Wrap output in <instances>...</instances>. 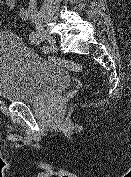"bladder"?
<instances>
[{
	"label": "bladder",
	"mask_w": 131,
	"mask_h": 177,
	"mask_svg": "<svg viewBox=\"0 0 131 177\" xmlns=\"http://www.w3.org/2000/svg\"><path fill=\"white\" fill-rule=\"evenodd\" d=\"M70 83L63 67L33 52L14 32H0V98L36 103L60 94Z\"/></svg>",
	"instance_id": "obj_1"
}]
</instances>
